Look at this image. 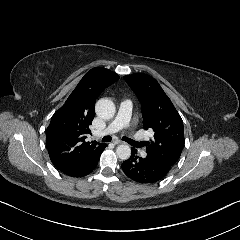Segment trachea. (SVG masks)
Returning a JSON list of instances; mask_svg holds the SVG:
<instances>
[{"label": "trachea", "instance_id": "3493384b", "mask_svg": "<svg viewBox=\"0 0 240 240\" xmlns=\"http://www.w3.org/2000/svg\"><path fill=\"white\" fill-rule=\"evenodd\" d=\"M111 136H104L103 138H102V142H110L111 141ZM125 141L126 142H128V143H130L131 145H135V141H132V140H130V139H125ZM139 144V146H141V143H138Z\"/></svg>", "mask_w": 240, "mask_h": 240}]
</instances>
